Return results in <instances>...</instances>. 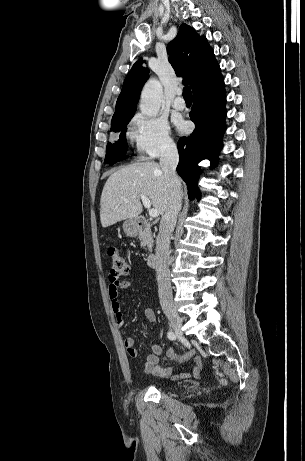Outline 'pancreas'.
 Returning <instances> with one entry per match:
<instances>
[{
  "label": "pancreas",
  "instance_id": "obj_1",
  "mask_svg": "<svg viewBox=\"0 0 305 461\" xmlns=\"http://www.w3.org/2000/svg\"><path fill=\"white\" fill-rule=\"evenodd\" d=\"M153 242L154 240L151 236H145L142 238L141 247H143L144 249H148L151 252L152 247H153Z\"/></svg>",
  "mask_w": 305,
  "mask_h": 461
}]
</instances>
